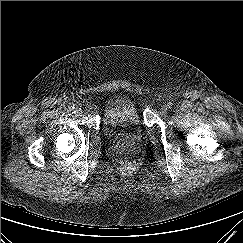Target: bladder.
<instances>
[{"mask_svg": "<svg viewBox=\"0 0 243 243\" xmlns=\"http://www.w3.org/2000/svg\"><path fill=\"white\" fill-rule=\"evenodd\" d=\"M101 132L110 142L135 145L142 141L144 128L134 101L124 94L109 98L102 115Z\"/></svg>", "mask_w": 243, "mask_h": 243, "instance_id": "31cf9c89", "label": "bladder"}]
</instances>
